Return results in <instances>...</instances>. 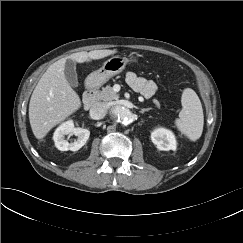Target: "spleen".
<instances>
[{"instance_id": "spleen-1", "label": "spleen", "mask_w": 243, "mask_h": 243, "mask_svg": "<svg viewBox=\"0 0 243 243\" xmlns=\"http://www.w3.org/2000/svg\"><path fill=\"white\" fill-rule=\"evenodd\" d=\"M182 110L179 118L175 119L176 128L191 141L198 140L203 132L204 115L201 101L191 88L183 90Z\"/></svg>"}]
</instances>
